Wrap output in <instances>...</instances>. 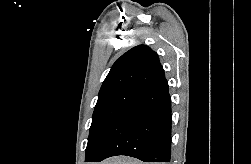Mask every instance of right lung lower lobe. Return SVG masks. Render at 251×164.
<instances>
[{
    "mask_svg": "<svg viewBox=\"0 0 251 164\" xmlns=\"http://www.w3.org/2000/svg\"><path fill=\"white\" fill-rule=\"evenodd\" d=\"M171 99L168 83L141 90L140 96L113 122L86 162L127 155L144 162H169Z\"/></svg>",
    "mask_w": 251,
    "mask_h": 164,
    "instance_id": "obj_1",
    "label": "right lung lower lobe"
}]
</instances>
